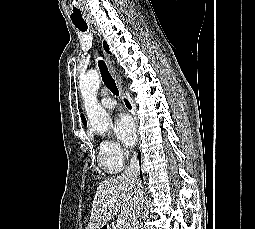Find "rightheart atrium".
Returning <instances> with one entry per match:
<instances>
[{"mask_svg":"<svg viewBox=\"0 0 255 229\" xmlns=\"http://www.w3.org/2000/svg\"><path fill=\"white\" fill-rule=\"evenodd\" d=\"M100 154L107 164L123 165L128 151L116 141L104 140L100 144Z\"/></svg>","mask_w":255,"mask_h":229,"instance_id":"obj_1","label":"right heart atrium"}]
</instances>
